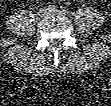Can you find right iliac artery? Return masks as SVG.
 I'll use <instances>...</instances> for the list:
<instances>
[{
  "mask_svg": "<svg viewBox=\"0 0 111 106\" xmlns=\"http://www.w3.org/2000/svg\"><path fill=\"white\" fill-rule=\"evenodd\" d=\"M47 10H48V11H54V10H55V6H54V5H49V6L47 7Z\"/></svg>",
  "mask_w": 111,
  "mask_h": 106,
  "instance_id": "82829eb1",
  "label": "right iliac artery"
}]
</instances>
